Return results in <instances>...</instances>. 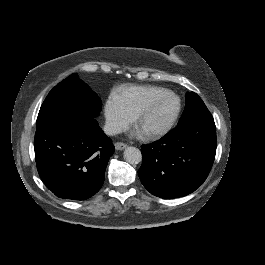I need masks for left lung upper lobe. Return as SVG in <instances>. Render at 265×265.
<instances>
[{
	"label": "left lung upper lobe",
	"instance_id": "1",
	"mask_svg": "<svg viewBox=\"0 0 265 265\" xmlns=\"http://www.w3.org/2000/svg\"><path fill=\"white\" fill-rule=\"evenodd\" d=\"M208 109L205 106L202 99L194 92H188L186 94V106L183 115L179 121H184L188 118L207 112Z\"/></svg>",
	"mask_w": 265,
	"mask_h": 265
}]
</instances>
